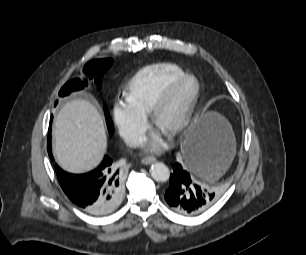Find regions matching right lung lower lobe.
<instances>
[{
    "label": "right lung lower lobe",
    "instance_id": "right-lung-lower-lobe-1",
    "mask_svg": "<svg viewBox=\"0 0 306 255\" xmlns=\"http://www.w3.org/2000/svg\"><path fill=\"white\" fill-rule=\"evenodd\" d=\"M51 129L48 136V153L51 152ZM58 181L68 198L79 208L92 215L110 213L119 203L122 185L119 169L109 156H105L97 169L80 175L63 171L55 164Z\"/></svg>",
    "mask_w": 306,
    "mask_h": 255
}]
</instances>
